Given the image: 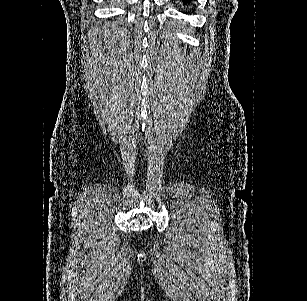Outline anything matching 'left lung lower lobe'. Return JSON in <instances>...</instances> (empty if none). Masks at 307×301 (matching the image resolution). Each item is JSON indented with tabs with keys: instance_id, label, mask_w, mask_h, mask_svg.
<instances>
[{
	"instance_id": "1",
	"label": "left lung lower lobe",
	"mask_w": 307,
	"mask_h": 301,
	"mask_svg": "<svg viewBox=\"0 0 307 301\" xmlns=\"http://www.w3.org/2000/svg\"><path fill=\"white\" fill-rule=\"evenodd\" d=\"M189 1H190V0H183V5H186V4L189 5V4H190Z\"/></svg>"
}]
</instances>
